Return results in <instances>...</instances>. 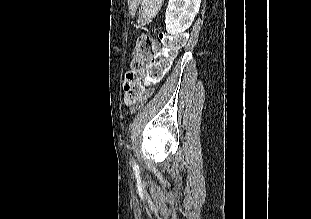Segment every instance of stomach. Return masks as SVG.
Wrapping results in <instances>:
<instances>
[{"mask_svg":"<svg viewBox=\"0 0 311 219\" xmlns=\"http://www.w3.org/2000/svg\"><path fill=\"white\" fill-rule=\"evenodd\" d=\"M163 0H142L141 7L139 9L138 23L145 25L152 21L156 16Z\"/></svg>","mask_w":311,"mask_h":219,"instance_id":"0dacf381","label":"stomach"}]
</instances>
